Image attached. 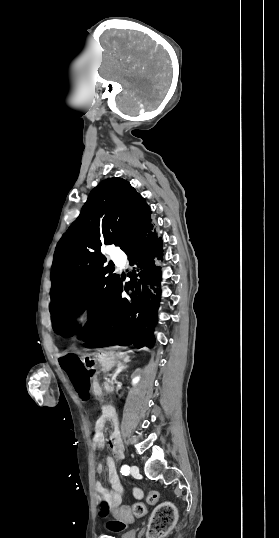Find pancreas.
Segmentation results:
<instances>
[{"instance_id":"cf45deb5","label":"pancreas","mask_w":279,"mask_h":538,"mask_svg":"<svg viewBox=\"0 0 279 538\" xmlns=\"http://www.w3.org/2000/svg\"><path fill=\"white\" fill-rule=\"evenodd\" d=\"M104 391H106L107 393H112L114 391V383L111 379L105 381Z\"/></svg>"}]
</instances>
